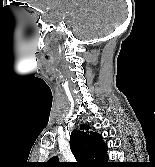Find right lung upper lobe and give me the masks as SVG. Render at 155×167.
Instances as JSON below:
<instances>
[{"mask_svg": "<svg viewBox=\"0 0 155 167\" xmlns=\"http://www.w3.org/2000/svg\"><path fill=\"white\" fill-rule=\"evenodd\" d=\"M70 148L77 160V163L70 166L106 167L111 164L107 162V146L103 142L102 136L93 132L87 124H83L81 130L72 131ZM66 165L59 162L57 157H52L44 164V167H63Z\"/></svg>", "mask_w": 155, "mask_h": 167, "instance_id": "right-lung-upper-lobe-1", "label": "right lung upper lobe"}]
</instances>
